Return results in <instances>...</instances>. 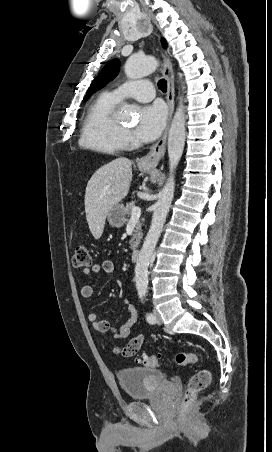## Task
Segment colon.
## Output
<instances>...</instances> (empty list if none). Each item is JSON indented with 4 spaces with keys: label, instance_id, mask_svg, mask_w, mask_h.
I'll return each mask as SVG.
<instances>
[{
    "label": "colon",
    "instance_id": "5ec220e1",
    "mask_svg": "<svg viewBox=\"0 0 272 452\" xmlns=\"http://www.w3.org/2000/svg\"><path fill=\"white\" fill-rule=\"evenodd\" d=\"M91 264V256L86 244H78L73 255V266L75 268L88 267ZM116 351L123 356H133L139 351V341L132 340L124 347L117 348ZM160 355L143 354L137 359V363L142 366L156 367L160 364ZM177 365L185 366L198 363V356L192 352H179L175 356ZM211 374L207 369H200L194 373L189 381L184 394L183 403L189 405L196 397V395L206 389L210 383Z\"/></svg>",
    "mask_w": 272,
    "mask_h": 452
}]
</instances>
